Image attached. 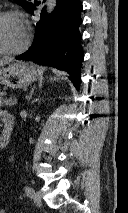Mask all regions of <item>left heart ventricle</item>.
Wrapping results in <instances>:
<instances>
[{"label": "left heart ventricle", "instance_id": "obj_1", "mask_svg": "<svg viewBox=\"0 0 128 213\" xmlns=\"http://www.w3.org/2000/svg\"><path fill=\"white\" fill-rule=\"evenodd\" d=\"M25 39V27L21 20L13 17L0 21V47L4 49L18 48Z\"/></svg>", "mask_w": 128, "mask_h": 213}]
</instances>
